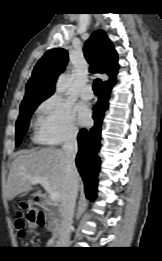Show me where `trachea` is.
Listing matches in <instances>:
<instances>
[{"label":"trachea","instance_id":"obj_1","mask_svg":"<svg viewBox=\"0 0 162 261\" xmlns=\"http://www.w3.org/2000/svg\"><path fill=\"white\" fill-rule=\"evenodd\" d=\"M102 81L100 79H95L93 83V90L95 94H100Z\"/></svg>","mask_w":162,"mask_h":261}]
</instances>
